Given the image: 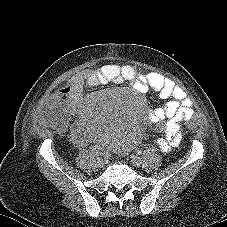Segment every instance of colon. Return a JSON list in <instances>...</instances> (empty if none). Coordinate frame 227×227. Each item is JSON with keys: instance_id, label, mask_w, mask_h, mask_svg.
I'll return each instance as SVG.
<instances>
[{"instance_id": "obj_1", "label": "colon", "mask_w": 227, "mask_h": 227, "mask_svg": "<svg viewBox=\"0 0 227 227\" xmlns=\"http://www.w3.org/2000/svg\"><path fill=\"white\" fill-rule=\"evenodd\" d=\"M178 133L182 138H189L192 130L187 123H180L178 125Z\"/></svg>"}]
</instances>
